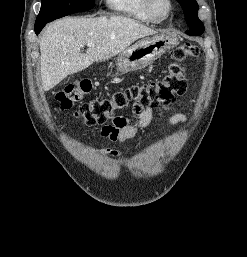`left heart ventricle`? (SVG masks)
I'll use <instances>...</instances> for the list:
<instances>
[{
	"label": "left heart ventricle",
	"instance_id": "left-heart-ventricle-1",
	"mask_svg": "<svg viewBox=\"0 0 247 257\" xmlns=\"http://www.w3.org/2000/svg\"><path fill=\"white\" fill-rule=\"evenodd\" d=\"M158 6H159V9H160L161 11H163V10L165 9V4H164V2H162L161 0H160V2H159Z\"/></svg>",
	"mask_w": 247,
	"mask_h": 257
}]
</instances>
